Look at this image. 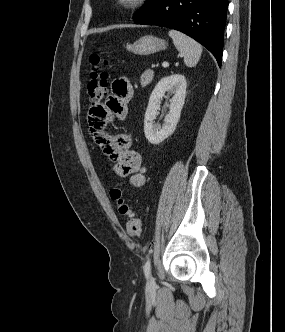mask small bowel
Returning <instances> with one entry per match:
<instances>
[{
	"mask_svg": "<svg viewBox=\"0 0 285 332\" xmlns=\"http://www.w3.org/2000/svg\"><path fill=\"white\" fill-rule=\"evenodd\" d=\"M111 90L105 103L89 109V128L96 143L114 165V171L121 177H129L132 187H140L146 179L141 155L133 149L132 136L129 133L109 135L103 131L108 123L126 118L133 87L126 77L121 76L112 82Z\"/></svg>",
	"mask_w": 285,
	"mask_h": 332,
	"instance_id": "obj_1",
	"label": "small bowel"
}]
</instances>
